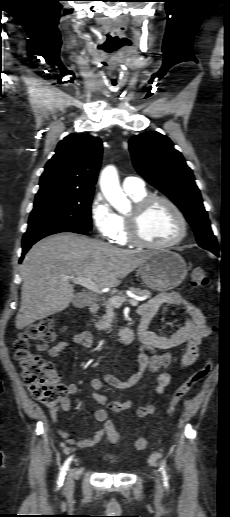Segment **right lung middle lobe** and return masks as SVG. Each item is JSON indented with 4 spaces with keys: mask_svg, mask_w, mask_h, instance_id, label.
I'll return each mask as SVG.
<instances>
[{
    "mask_svg": "<svg viewBox=\"0 0 230 517\" xmlns=\"http://www.w3.org/2000/svg\"><path fill=\"white\" fill-rule=\"evenodd\" d=\"M93 192H73L36 197L28 230L66 225L90 231Z\"/></svg>",
    "mask_w": 230,
    "mask_h": 517,
    "instance_id": "1",
    "label": "right lung middle lobe"
}]
</instances>
